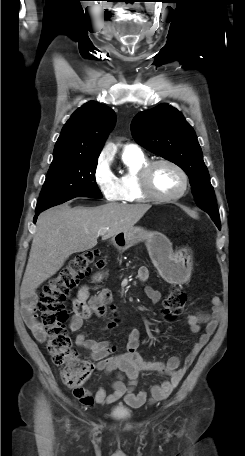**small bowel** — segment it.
Masks as SVG:
<instances>
[{"label":"small bowel","instance_id":"obj_1","mask_svg":"<svg viewBox=\"0 0 245 456\" xmlns=\"http://www.w3.org/2000/svg\"><path fill=\"white\" fill-rule=\"evenodd\" d=\"M103 277L104 272L99 271L93 275L91 282H99ZM148 277V268L141 267L138 270L139 280L144 282ZM145 294L153 303H158L161 300V293L152 287L147 286ZM36 301L35 295L28 297L24 302L22 315L34 337L38 341L44 342L46 335L36 318ZM210 302V313L195 312L186 318L192 333H199L201 324L205 325V329L193 344L182 366L180 359L176 356L169 358L166 362L145 360L138 352L140 333L135 328L127 332L125 348L120 352H116L115 346L107 340L89 338L85 333H79L75 342L77 346L90 353V358L96 362V368L105 372L118 371L119 377L112 382L111 393H107L103 387H99L95 392L84 387H77L74 389V396L82 404L89 407L95 403L99 405L112 404L123 398L129 406L139 408L147 402L148 392L146 390L135 392L137 379L141 372L150 371L166 375L168 379L150 387L151 398L149 401L156 402L166 399L178 386L185 372L208 343L218 326L222 302L218 296H213ZM108 314L111 315V319L106 324L105 329L110 330L119 324V315L116 306L113 304L111 291L104 288L95 294H91L90 286L82 285L78 288L73 303V315L69 322V328L72 332L80 331L85 321L92 315L105 317ZM124 378L127 379V383L124 382Z\"/></svg>","mask_w":245,"mask_h":456}]
</instances>
